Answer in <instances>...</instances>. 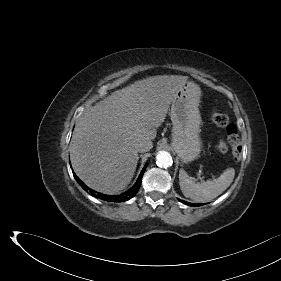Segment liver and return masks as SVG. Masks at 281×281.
I'll return each mask as SVG.
<instances>
[{
    "mask_svg": "<svg viewBox=\"0 0 281 281\" xmlns=\"http://www.w3.org/2000/svg\"><path fill=\"white\" fill-rule=\"evenodd\" d=\"M187 76L157 75L113 92L89 107L76 123L70 160L91 189L116 194L131 182L138 163L136 145L156 138L174 94ZM148 150V151H149Z\"/></svg>",
    "mask_w": 281,
    "mask_h": 281,
    "instance_id": "6515ba94",
    "label": "liver"
}]
</instances>
